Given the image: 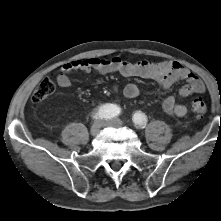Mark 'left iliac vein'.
I'll use <instances>...</instances> for the list:
<instances>
[{
  "mask_svg": "<svg viewBox=\"0 0 221 221\" xmlns=\"http://www.w3.org/2000/svg\"><path fill=\"white\" fill-rule=\"evenodd\" d=\"M104 126L121 127L123 126V122L120 119L115 118L105 121Z\"/></svg>",
  "mask_w": 221,
  "mask_h": 221,
  "instance_id": "obj_1",
  "label": "left iliac vein"
}]
</instances>
